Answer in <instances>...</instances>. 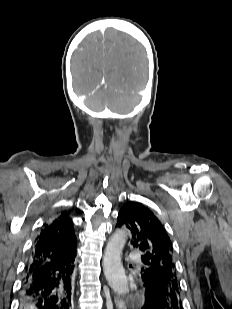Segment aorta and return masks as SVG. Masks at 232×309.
<instances>
[{
	"mask_svg": "<svg viewBox=\"0 0 232 309\" xmlns=\"http://www.w3.org/2000/svg\"><path fill=\"white\" fill-rule=\"evenodd\" d=\"M125 243V232L116 231L109 239L103 257L104 275L109 285L119 295L129 292L127 277L121 262V252Z\"/></svg>",
	"mask_w": 232,
	"mask_h": 309,
	"instance_id": "obj_1",
	"label": "aorta"
}]
</instances>
